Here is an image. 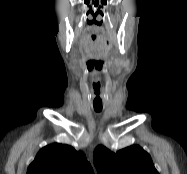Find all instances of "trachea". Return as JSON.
Here are the masks:
<instances>
[{
    "label": "trachea",
    "instance_id": "1",
    "mask_svg": "<svg viewBox=\"0 0 187 174\" xmlns=\"http://www.w3.org/2000/svg\"><path fill=\"white\" fill-rule=\"evenodd\" d=\"M102 109L101 108H95L96 112H100Z\"/></svg>",
    "mask_w": 187,
    "mask_h": 174
}]
</instances>
